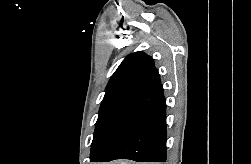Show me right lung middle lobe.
<instances>
[{
	"instance_id": "1",
	"label": "right lung middle lobe",
	"mask_w": 251,
	"mask_h": 164,
	"mask_svg": "<svg viewBox=\"0 0 251 164\" xmlns=\"http://www.w3.org/2000/svg\"><path fill=\"white\" fill-rule=\"evenodd\" d=\"M141 93L142 91L137 89H121L105 94L95 124L90 156L107 135L116 119L139 98Z\"/></svg>"
}]
</instances>
